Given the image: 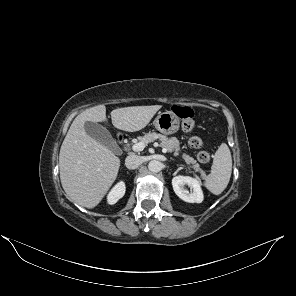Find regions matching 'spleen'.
Masks as SVG:
<instances>
[{
  "instance_id": "obj_1",
  "label": "spleen",
  "mask_w": 296,
  "mask_h": 296,
  "mask_svg": "<svg viewBox=\"0 0 296 296\" xmlns=\"http://www.w3.org/2000/svg\"><path fill=\"white\" fill-rule=\"evenodd\" d=\"M211 169L205 186L211 193L219 195L226 189L232 173V157L227 144L222 143L216 151Z\"/></svg>"
}]
</instances>
